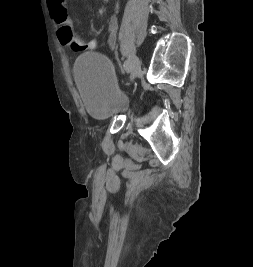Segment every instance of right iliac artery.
<instances>
[{
	"mask_svg": "<svg viewBox=\"0 0 253 267\" xmlns=\"http://www.w3.org/2000/svg\"><path fill=\"white\" fill-rule=\"evenodd\" d=\"M123 67H124V69L127 71V72H129L130 71V61H129V59L128 60H125V62H124V64H123Z\"/></svg>",
	"mask_w": 253,
	"mask_h": 267,
	"instance_id": "82829eb1",
	"label": "right iliac artery"
}]
</instances>
